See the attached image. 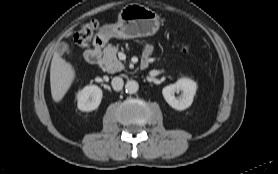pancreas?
Returning <instances> with one entry per match:
<instances>
[{"instance_id": "cf45deb5", "label": "pancreas", "mask_w": 278, "mask_h": 174, "mask_svg": "<svg viewBox=\"0 0 278 174\" xmlns=\"http://www.w3.org/2000/svg\"><path fill=\"white\" fill-rule=\"evenodd\" d=\"M118 47L108 45L103 50L102 65L103 69L108 73H116L123 70L125 67L117 58Z\"/></svg>"}]
</instances>
